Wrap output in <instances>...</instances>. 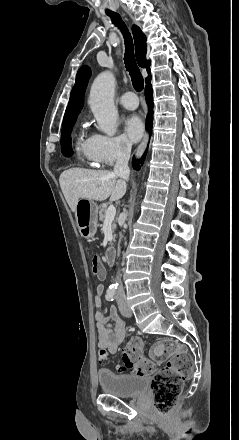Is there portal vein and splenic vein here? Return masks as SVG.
<instances>
[{
  "label": "portal vein and splenic vein",
  "mask_w": 239,
  "mask_h": 440,
  "mask_svg": "<svg viewBox=\"0 0 239 440\" xmlns=\"http://www.w3.org/2000/svg\"><path fill=\"white\" fill-rule=\"evenodd\" d=\"M116 214V208L114 206H109L106 212L105 222H113Z\"/></svg>",
  "instance_id": "18ae733b"
}]
</instances>
